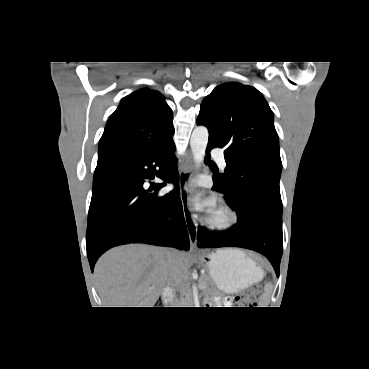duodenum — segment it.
I'll list each match as a JSON object with an SVG mask.
<instances>
[{"instance_id": "obj_1", "label": "duodenum", "mask_w": 369, "mask_h": 369, "mask_svg": "<svg viewBox=\"0 0 369 369\" xmlns=\"http://www.w3.org/2000/svg\"><path fill=\"white\" fill-rule=\"evenodd\" d=\"M173 299V291L169 288L165 289L162 293V300L166 303L171 302Z\"/></svg>"}]
</instances>
